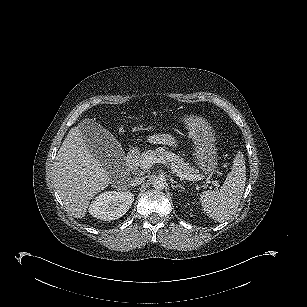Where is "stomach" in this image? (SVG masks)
I'll return each instance as SVG.
<instances>
[{"instance_id": "obj_1", "label": "stomach", "mask_w": 307, "mask_h": 307, "mask_svg": "<svg viewBox=\"0 0 307 307\" xmlns=\"http://www.w3.org/2000/svg\"><path fill=\"white\" fill-rule=\"evenodd\" d=\"M182 122L194 141V155L201 170L213 173L217 165L213 131L207 120L198 115H184Z\"/></svg>"}]
</instances>
